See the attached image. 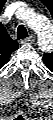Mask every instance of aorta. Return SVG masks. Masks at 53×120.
<instances>
[{
  "instance_id": "obj_1",
  "label": "aorta",
  "mask_w": 53,
  "mask_h": 120,
  "mask_svg": "<svg viewBox=\"0 0 53 120\" xmlns=\"http://www.w3.org/2000/svg\"><path fill=\"white\" fill-rule=\"evenodd\" d=\"M29 26L36 31L38 35V44L40 48L48 49L52 43V26L50 21L40 15H32L27 18Z\"/></svg>"
}]
</instances>
